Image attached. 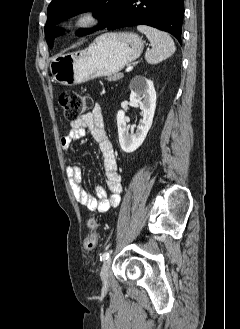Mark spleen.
<instances>
[{"mask_svg":"<svg viewBox=\"0 0 240 329\" xmlns=\"http://www.w3.org/2000/svg\"><path fill=\"white\" fill-rule=\"evenodd\" d=\"M137 30L146 35L152 46L145 54L148 63H159L175 52L174 41L168 33L145 25L137 26Z\"/></svg>","mask_w":240,"mask_h":329,"instance_id":"obj_1","label":"spleen"}]
</instances>
